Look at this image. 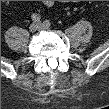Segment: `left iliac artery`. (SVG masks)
<instances>
[{
    "mask_svg": "<svg viewBox=\"0 0 109 109\" xmlns=\"http://www.w3.org/2000/svg\"><path fill=\"white\" fill-rule=\"evenodd\" d=\"M44 23H45V25H46L47 27L50 26V22H49L48 20H46Z\"/></svg>",
    "mask_w": 109,
    "mask_h": 109,
    "instance_id": "44dca946",
    "label": "left iliac artery"
}]
</instances>
